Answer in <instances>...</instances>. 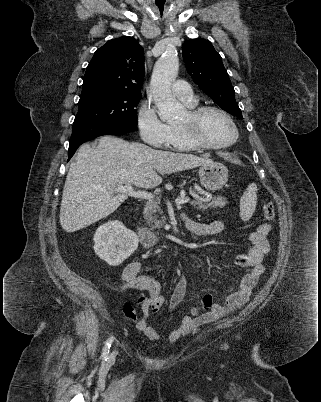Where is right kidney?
I'll use <instances>...</instances> for the list:
<instances>
[{"label":"right kidney","mask_w":321,"mask_h":402,"mask_svg":"<svg viewBox=\"0 0 321 402\" xmlns=\"http://www.w3.org/2000/svg\"><path fill=\"white\" fill-rule=\"evenodd\" d=\"M94 251L110 266H118L138 247L137 235L118 220L108 221L94 234Z\"/></svg>","instance_id":"right-kidney-1"}]
</instances>
